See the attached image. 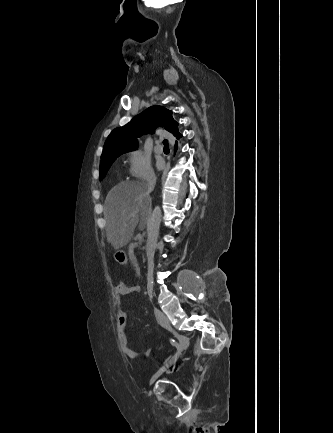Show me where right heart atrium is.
<instances>
[{
  "mask_svg": "<svg viewBox=\"0 0 333 433\" xmlns=\"http://www.w3.org/2000/svg\"><path fill=\"white\" fill-rule=\"evenodd\" d=\"M129 174L136 179H151L154 177L150 158L140 149H133L127 154Z\"/></svg>",
  "mask_w": 333,
  "mask_h": 433,
  "instance_id": "d8ad5b80",
  "label": "right heart atrium"
}]
</instances>
